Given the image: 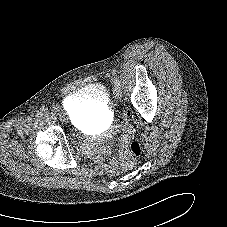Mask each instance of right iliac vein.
<instances>
[{
	"mask_svg": "<svg viewBox=\"0 0 227 227\" xmlns=\"http://www.w3.org/2000/svg\"><path fill=\"white\" fill-rule=\"evenodd\" d=\"M47 117H48V119H51V120L55 119V115L53 113L49 114Z\"/></svg>",
	"mask_w": 227,
	"mask_h": 227,
	"instance_id": "63e3f726",
	"label": "right iliac vein"
}]
</instances>
